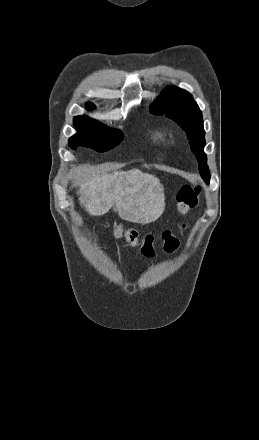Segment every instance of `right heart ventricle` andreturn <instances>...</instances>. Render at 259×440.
<instances>
[{
  "mask_svg": "<svg viewBox=\"0 0 259 440\" xmlns=\"http://www.w3.org/2000/svg\"><path fill=\"white\" fill-rule=\"evenodd\" d=\"M152 138L156 141H163L166 138V133L162 129H156L152 132Z\"/></svg>",
  "mask_w": 259,
  "mask_h": 440,
  "instance_id": "obj_1",
  "label": "right heart ventricle"
}]
</instances>
